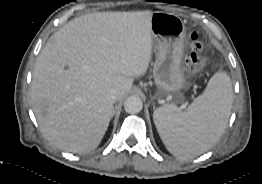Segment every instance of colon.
<instances>
[{
  "label": "colon",
  "mask_w": 262,
  "mask_h": 184,
  "mask_svg": "<svg viewBox=\"0 0 262 184\" xmlns=\"http://www.w3.org/2000/svg\"><path fill=\"white\" fill-rule=\"evenodd\" d=\"M205 47L197 34L191 36L189 53L187 54L183 66L188 76L198 75L204 67L205 58L203 56Z\"/></svg>",
  "instance_id": "5ec220e1"
}]
</instances>
